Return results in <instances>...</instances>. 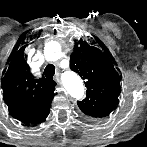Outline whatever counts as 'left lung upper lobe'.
I'll return each mask as SVG.
<instances>
[{
  "label": "left lung upper lobe",
  "mask_w": 147,
  "mask_h": 147,
  "mask_svg": "<svg viewBox=\"0 0 147 147\" xmlns=\"http://www.w3.org/2000/svg\"><path fill=\"white\" fill-rule=\"evenodd\" d=\"M102 50L80 43L70 57V68L80 74L87 87L86 98L77 104L84 114L93 118L111 113L118 102L120 89L119 75Z\"/></svg>",
  "instance_id": "5c2ea615"
}]
</instances>
